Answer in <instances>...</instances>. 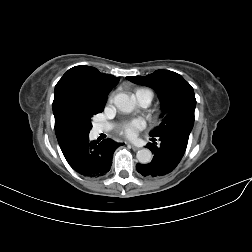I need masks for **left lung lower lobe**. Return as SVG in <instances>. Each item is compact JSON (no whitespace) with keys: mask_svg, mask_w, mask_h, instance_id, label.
Instances as JSON below:
<instances>
[{"mask_svg":"<svg viewBox=\"0 0 252 252\" xmlns=\"http://www.w3.org/2000/svg\"><path fill=\"white\" fill-rule=\"evenodd\" d=\"M190 132L173 130L158 136L160 144L155 138L147 148L152 152L153 159L147 164H137V171L147 177H160L172 172L180 163L188 144Z\"/></svg>","mask_w":252,"mask_h":252,"instance_id":"0a47b994","label":"left lung lower lobe"}]
</instances>
